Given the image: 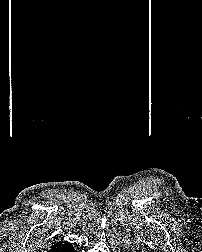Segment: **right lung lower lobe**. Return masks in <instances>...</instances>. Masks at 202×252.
I'll return each mask as SVG.
<instances>
[{
  "label": "right lung lower lobe",
  "mask_w": 202,
  "mask_h": 252,
  "mask_svg": "<svg viewBox=\"0 0 202 252\" xmlns=\"http://www.w3.org/2000/svg\"><path fill=\"white\" fill-rule=\"evenodd\" d=\"M61 251H62V252H77V251L73 248L72 244L69 245V246H67V247H65V248H63Z\"/></svg>",
  "instance_id": "1"
}]
</instances>
